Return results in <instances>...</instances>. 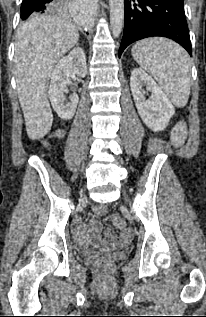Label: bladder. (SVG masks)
Listing matches in <instances>:
<instances>
[{"instance_id":"1","label":"bladder","mask_w":206,"mask_h":317,"mask_svg":"<svg viewBox=\"0 0 206 317\" xmlns=\"http://www.w3.org/2000/svg\"><path fill=\"white\" fill-rule=\"evenodd\" d=\"M90 251H94L95 249L94 248H91V249H89Z\"/></svg>"}]
</instances>
